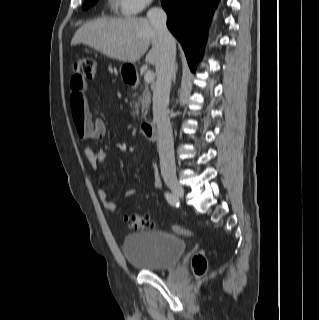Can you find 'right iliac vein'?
Returning a JSON list of instances; mask_svg holds the SVG:
<instances>
[{"instance_id":"right-iliac-vein-1","label":"right iliac vein","mask_w":319,"mask_h":320,"mask_svg":"<svg viewBox=\"0 0 319 320\" xmlns=\"http://www.w3.org/2000/svg\"><path fill=\"white\" fill-rule=\"evenodd\" d=\"M165 182L175 196L180 198L184 196V189L176 178L168 177L165 179Z\"/></svg>"}]
</instances>
